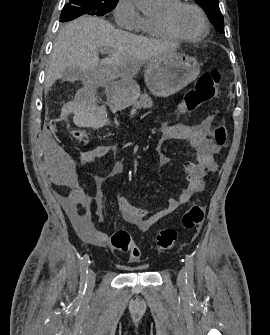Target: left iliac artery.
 I'll return each mask as SVG.
<instances>
[{"label": "left iliac artery", "instance_id": "obj_1", "mask_svg": "<svg viewBox=\"0 0 270 335\" xmlns=\"http://www.w3.org/2000/svg\"><path fill=\"white\" fill-rule=\"evenodd\" d=\"M185 267H186V284L188 288L193 287V276H194V261L190 255L185 257Z\"/></svg>", "mask_w": 270, "mask_h": 335}]
</instances>
